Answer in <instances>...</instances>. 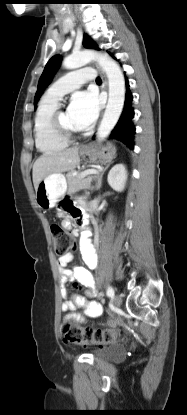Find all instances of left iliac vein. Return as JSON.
Returning <instances> with one entry per match:
<instances>
[{"mask_svg":"<svg viewBox=\"0 0 187 415\" xmlns=\"http://www.w3.org/2000/svg\"><path fill=\"white\" fill-rule=\"evenodd\" d=\"M121 304H122V296L120 294H116L114 296V306L118 308L121 306Z\"/></svg>","mask_w":187,"mask_h":415,"instance_id":"1","label":"left iliac vein"}]
</instances>
